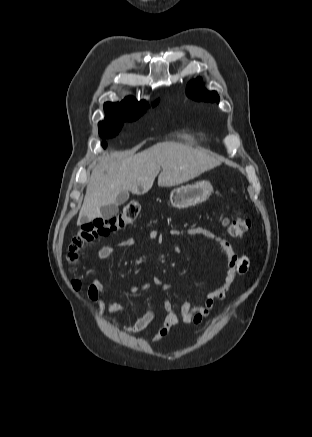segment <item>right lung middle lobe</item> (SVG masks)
<instances>
[{"instance_id": "obj_1", "label": "right lung middle lobe", "mask_w": 312, "mask_h": 437, "mask_svg": "<svg viewBox=\"0 0 312 437\" xmlns=\"http://www.w3.org/2000/svg\"><path fill=\"white\" fill-rule=\"evenodd\" d=\"M138 118H139V116L132 117V118H109V117H106L107 121L99 123V134L102 138L113 137V136L118 134L123 123L135 121ZM105 145H106L105 142H103L102 146L105 147Z\"/></svg>"}]
</instances>
